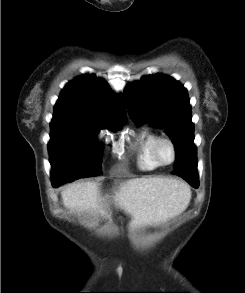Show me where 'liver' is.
<instances>
[{
  "label": "liver",
  "mask_w": 245,
  "mask_h": 293,
  "mask_svg": "<svg viewBox=\"0 0 245 293\" xmlns=\"http://www.w3.org/2000/svg\"><path fill=\"white\" fill-rule=\"evenodd\" d=\"M61 197L65 207L76 211L99 210L108 215L107 197H102L100 184L78 182L64 188ZM116 207L132 218L131 226H152L181 214L191 198L190 189L173 178H135L122 181L112 196Z\"/></svg>",
  "instance_id": "obj_1"
}]
</instances>
